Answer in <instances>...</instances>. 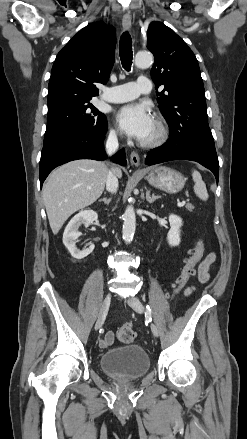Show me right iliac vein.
Instances as JSON below:
<instances>
[{
	"instance_id": "obj_1",
	"label": "right iliac vein",
	"mask_w": 247,
	"mask_h": 439,
	"mask_svg": "<svg viewBox=\"0 0 247 439\" xmlns=\"http://www.w3.org/2000/svg\"><path fill=\"white\" fill-rule=\"evenodd\" d=\"M110 303H111V294L108 293L103 300V303H102V306H101V309H100V312H99V315H98V318H97V321H96V324L94 327L95 330H98L101 327V325L103 324V322L107 316Z\"/></svg>"
}]
</instances>
